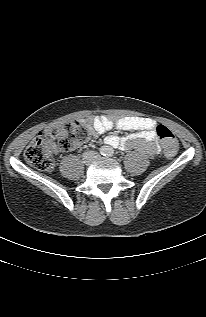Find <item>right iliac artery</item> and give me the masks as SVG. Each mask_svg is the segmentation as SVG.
Here are the masks:
<instances>
[{
	"label": "right iliac artery",
	"instance_id": "right-iliac-artery-1",
	"mask_svg": "<svg viewBox=\"0 0 206 317\" xmlns=\"http://www.w3.org/2000/svg\"><path fill=\"white\" fill-rule=\"evenodd\" d=\"M99 152L101 155L105 156L107 154V148L106 147H101L99 149Z\"/></svg>",
	"mask_w": 206,
	"mask_h": 317
}]
</instances>
